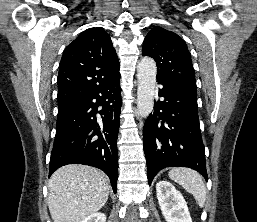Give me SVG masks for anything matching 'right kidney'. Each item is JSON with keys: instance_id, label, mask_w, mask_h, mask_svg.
Listing matches in <instances>:
<instances>
[{"instance_id": "ca27d5eb", "label": "right kidney", "mask_w": 257, "mask_h": 222, "mask_svg": "<svg viewBox=\"0 0 257 222\" xmlns=\"http://www.w3.org/2000/svg\"><path fill=\"white\" fill-rule=\"evenodd\" d=\"M81 222H106V215L104 213H93L83 219Z\"/></svg>"}]
</instances>
